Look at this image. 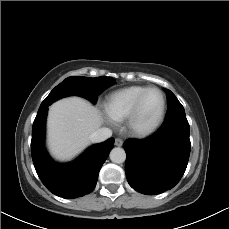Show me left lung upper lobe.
<instances>
[{
  "label": "left lung upper lobe",
  "mask_w": 229,
  "mask_h": 229,
  "mask_svg": "<svg viewBox=\"0 0 229 229\" xmlns=\"http://www.w3.org/2000/svg\"><path fill=\"white\" fill-rule=\"evenodd\" d=\"M168 110L165 118L166 121H170L177 118H185V110L176 96L170 91L166 90Z\"/></svg>",
  "instance_id": "1"
}]
</instances>
